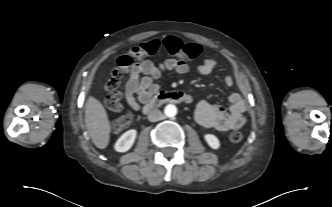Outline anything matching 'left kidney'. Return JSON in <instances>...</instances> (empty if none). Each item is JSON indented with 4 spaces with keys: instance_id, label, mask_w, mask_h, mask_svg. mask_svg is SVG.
<instances>
[{
    "instance_id": "5707ae66",
    "label": "left kidney",
    "mask_w": 332,
    "mask_h": 207,
    "mask_svg": "<svg viewBox=\"0 0 332 207\" xmlns=\"http://www.w3.org/2000/svg\"><path fill=\"white\" fill-rule=\"evenodd\" d=\"M204 139L212 149H218L220 147V142L215 135L206 134L204 135Z\"/></svg>"
}]
</instances>
